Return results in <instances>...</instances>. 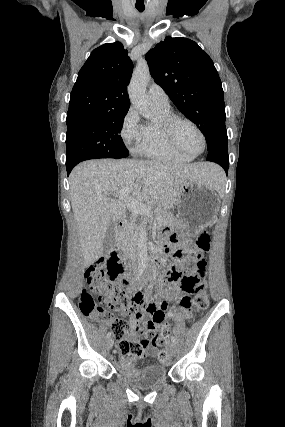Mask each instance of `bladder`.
I'll use <instances>...</instances> for the list:
<instances>
[{
  "label": "bladder",
  "mask_w": 285,
  "mask_h": 427,
  "mask_svg": "<svg viewBox=\"0 0 285 427\" xmlns=\"http://www.w3.org/2000/svg\"><path fill=\"white\" fill-rule=\"evenodd\" d=\"M115 371L125 381L136 387L154 386L166 377L165 367L158 364L148 366L130 365L125 368H116Z\"/></svg>",
  "instance_id": "obj_1"
}]
</instances>
